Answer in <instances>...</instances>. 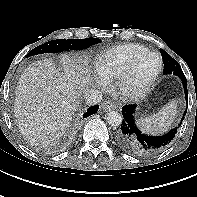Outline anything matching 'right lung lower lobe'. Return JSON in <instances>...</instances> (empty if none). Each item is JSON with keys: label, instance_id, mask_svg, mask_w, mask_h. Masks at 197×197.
I'll use <instances>...</instances> for the list:
<instances>
[{"label": "right lung lower lobe", "instance_id": "98d812e1", "mask_svg": "<svg viewBox=\"0 0 197 197\" xmlns=\"http://www.w3.org/2000/svg\"><path fill=\"white\" fill-rule=\"evenodd\" d=\"M98 108H99L98 105H96V106H91V107L87 110V112L83 115V118L88 117V116H90V115H92V114H95V113L97 112Z\"/></svg>", "mask_w": 197, "mask_h": 197}]
</instances>
